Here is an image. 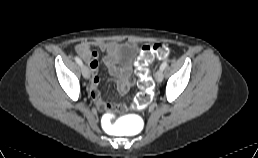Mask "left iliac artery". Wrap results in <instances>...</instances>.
<instances>
[{"label": "left iliac artery", "mask_w": 258, "mask_h": 158, "mask_svg": "<svg viewBox=\"0 0 258 158\" xmlns=\"http://www.w3.org/2000/svg\"><path fill=\"white\" fill-rule=\"evenodd\" d=\"M167 65H168V61H164V62L161 64L160 69H161V70H164V69L167 67Z\"/></svg>", "instance_id": "obj_1"}]
</instances>
